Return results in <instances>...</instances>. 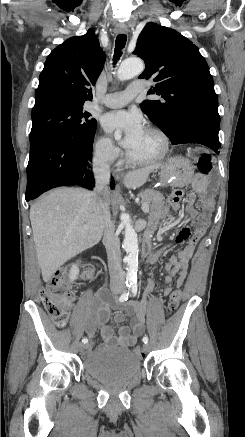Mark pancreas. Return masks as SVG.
<instances>
[{
  "mask_svg": "<svg viewBox=\"0 0 245 437\" xmlns=\"http://www.w3.org/2000/svg\"><path fill=\"white\" fill-rule=\"evenodd\" d=\"M139 197H141V203L148 205L151 209L155 208L163 200V195L153 189L141 191Z\"/></svg>",
  "mask_w": 245,
  "mask_h": 437,
  "instance_id": "cf45deb5",
  "label": "pancreas"
}]
</instances>
